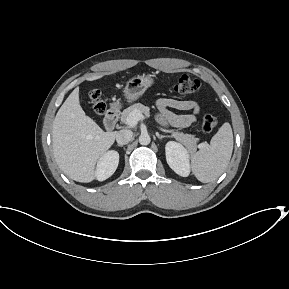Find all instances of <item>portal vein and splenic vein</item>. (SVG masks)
Here are the masks:
<instances>
[{"mask_svg":"<svg viewBox=\"0 0 289 289\" xmlns=\"http://www.w3.org/2000/svg\"><path fill=\"white\" fill-rule=\"evenodd\" d=\"M144 119V115L140 111H133L127 118L126 124L134 127L140 120Z\"/></svg>","mask_w":289,"mask_h":289,"instance_id":"18ae733b","label":"portal vein and splenic vein"}]
</instances>
